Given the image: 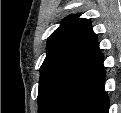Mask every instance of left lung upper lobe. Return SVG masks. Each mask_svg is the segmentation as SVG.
Instances as JSON below:
<instances>
[{"label": "left lung upper lobe", "instance_id": "obj_1", "mask_svg": "<svg viewBox=\"0 0 121 113\" xmlns=\"http://www.w3.org/2000/svg\"><path fill=\"white\" fill-rule=\"evenodd\" d=\"M105 72L88 19L67 17L47 41L40 69L39 113H71Z\"/></svg>", "mask_w": 121, "mask_h": 113}]
</instances>
